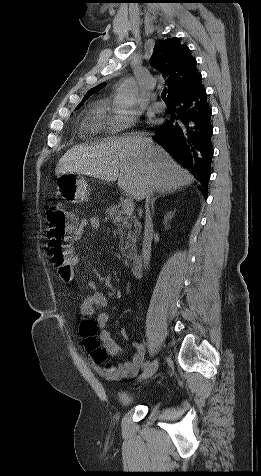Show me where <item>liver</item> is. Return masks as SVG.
<instances>
[{
  "label": "liver",
  "mask_w": 261,
  "mask_h": 476,
  "mask_svg": "<svg viewBox=\"0 0 261 476\" xmlns=\"http://www.w3.org/2000/svg\"><path fill=\"white\" fill-rule=\"evenodd\" d=\"M144 132L126 133L99 144L74 147L59 160L55 173H78L118 186L137 201L145 186L153 192H173L194 181L160 145Z\"/></svg>",
  "instance_id": "1"
}]
</instances>
